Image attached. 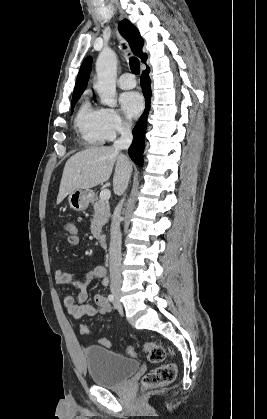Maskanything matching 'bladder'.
Here are the masks:
<instances>
[{"label":"bladder","instance_id":"1","mask_svg":"<svg viewBox=\"0 0 267 419\" xmlns=\"http://www.w3.org/2000/svg\"><path fill=\"white\" fill-rule=\"evenodd\" d=\"M88 374L92 382L105 388L124 384L139 369V362L122 356L100 345L84 349Z\"/></svg>","mask_w":267,"mask_h":419}]
</instances>
